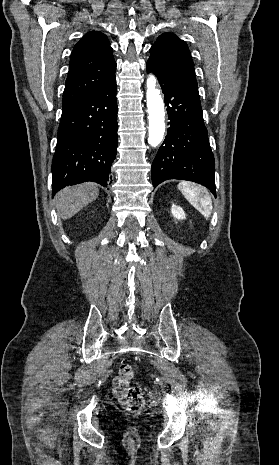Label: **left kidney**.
Instances as JSON below:
<instances>
[{
	"label": "left kidney",
	"instance_id": "left-kidney-1",
	"mask_svg": "<svg viewBox=\"0 0 279 465\" xmlns=\"http://www.w3.org/2000/svg\"><path fill=\"white\" fill-rule=\"evenodd\" d=\"M171 213L178 220H183L186 218L184 210L176 204H172Z\"/></svg>",
	"mask_w": 279,
	"mask_h": 465
}]
</instances>
